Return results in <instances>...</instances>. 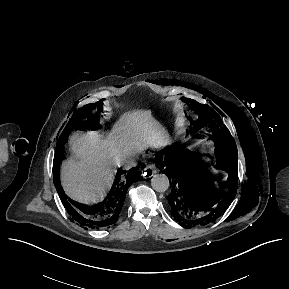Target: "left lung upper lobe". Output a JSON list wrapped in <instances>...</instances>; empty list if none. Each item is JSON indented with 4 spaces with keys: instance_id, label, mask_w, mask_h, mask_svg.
I'll return each instance as SVG.
<instances>
[{
    "instance_id": "obj_1",
    "label": "left lung upper lobe",
    "mask_w": 289,
    "mask_h": 289,
    "mask_svg": "<svg viewBox=\"0 0 289 289\" xmlns=\"http://www.w3.org/2000/svg\"><path fill=\"white\" fill-rule=\"evenodd\" d=\"M194 113V118L190 119V131L192 133L203 127L209 128V139L215 144V154L217 164L222 168L231 166L237 162V147L233 137L227 127L223 124L221 117L209 106L196 102L183 100Z\"/></svg>"
}]
</instances>
